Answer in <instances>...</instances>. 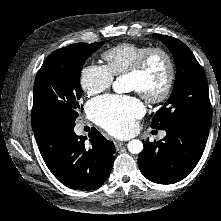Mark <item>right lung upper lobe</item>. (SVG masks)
<instances>
[{
    "label": "right lung upper lobe",
    "mask_w": 221,
    "mask_h": 221,
    "mask_svg": "<svg viewBox=\"0 0 221 221\" xmlns=\"http://www.w3.org/2000/svg\"><path fill=\"white\" fill-rule=\"evenodd\" d=\"M44 125H34L32 128H33V131H36L38 130L39 128L43 127Z\"/></svg>",
    "instance_id": "right-lung-upper-lobe-1"
}]
</instances>
